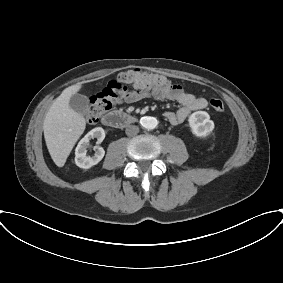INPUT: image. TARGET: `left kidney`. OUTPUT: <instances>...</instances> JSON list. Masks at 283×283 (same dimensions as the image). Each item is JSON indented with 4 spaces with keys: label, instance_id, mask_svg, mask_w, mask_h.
<instances>
[{
    "label": "left kidney",
    "instance_id": "obj_1",
    "mask_svg": "<svg viewBox=\"0 0 283 283\" xmlns=\"http://www.w3.org/2000/svg\"><path fill=\"white\" fill-rule=\"evenodd\" d=\"M189 126L197 137H206L214 129V122L205 111H196L189 116Z\"/></svg>",
    "mask_w": 283,
    "mask_h": 283
}]
</instances>
